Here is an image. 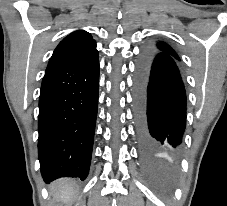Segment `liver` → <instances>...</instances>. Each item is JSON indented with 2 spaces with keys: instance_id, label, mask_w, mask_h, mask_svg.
Returning a JSON list of instances; mask_svg holds the SVG:
<instances>
[{
  "instance_id": "1",
  "label": "liver",
  "mask_w": 227,
  "mask_h": 206,
  "mask_svg": "<svg viewBox=\"0 0 227 206\" xmlns=\"http://www.w3.org/2000/svg\"><path fill=\"white\" fill-rule=\"evenodd\" d=\"M50 191L56 201L69 203L77 193L75 184L67 179L58 180L51 184Z\"/></svg>"
}]
</instances>
